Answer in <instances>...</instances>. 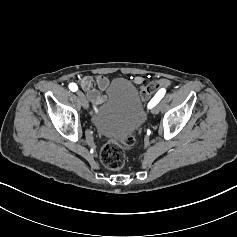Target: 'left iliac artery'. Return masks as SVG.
<instances>
[{
    "label": "left iliac artery",
    "instance_id": "left-iliac-artery-1",
    "mask_svg": "<svg viewBox=\"0 0 237 237\" xmlns=\"http://www.w3.org/2000/svg\"><path fill=\"white\" fill-rule=\"evenodd\" d=\"M165 93H166V90L164 88L160 89L156 93V95L151 99V101L148 103V108H152L155 105H157V103H159V101L163 98Z\"/></svg>",
    "mask_w": 237,
    "mask_h": 237
}]
</instances>
